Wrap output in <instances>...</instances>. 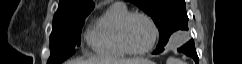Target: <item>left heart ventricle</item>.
Here are the masks:
<instances>
[{
	"mask_svg": "<svg viewBox=\"0 0 242 64\" xmlns=\"http://www.w3.org/2000/svg\"><path fill=\"white\" fill-rule=\"evenodd\" d=\"M127 40L135 50H142L152 41V29L149 23L142 17H134L127 28Z\"/></svg>",
	"mask_w": 242,
	"mask_h": 64,
	"instance_id": "b2bd125f",
	"label": "left heart ventricle"
}]
</instances>
